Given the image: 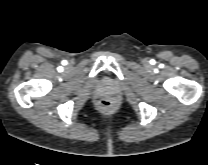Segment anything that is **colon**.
Segmentation results:
<instances>
[{"instance_id": "5ec220e1", "label": "colon", "mask_w": 208, "mask_h": 165, "mask_svg": "<svg viewBox=\"0 0 208 165\" xmlns=\"http://www.w3.org/2000/svg\"><path fill=\"white\" fill-rule=\"evenodd\" d=\"M99 107L102 111L108 112L113 108V102L108 99L99 101Z\"/></svg>"}]
</instances>
